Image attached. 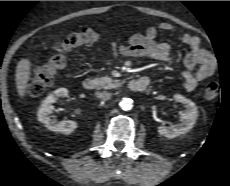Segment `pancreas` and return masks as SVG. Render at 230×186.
Returning a JSON list of instances; mask_svg holds the SVG:
<instances>
[{
  "label": "pancreas",
  "instance_id": "cf45deb5",
  "mask_svg": "<svg viewBox=\"0 0 230 186\" xmlns=\"http://www.w3.org/2000/svg\"><path fill=\"white\" fill-rule=\"evenodd\" d=\"M96 88L97 89H112V88H117L122 85V82L120 80H114L110 77H101V78H96Z\"/></svg>",
  "mask_w": 230,
  "mask_h": 186
}]
</instances>
